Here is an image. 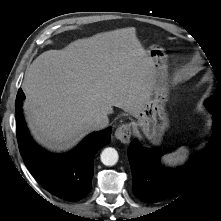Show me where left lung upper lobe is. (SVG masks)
Masks as SVG:
<instances>
[{"mask_svg": "<svg viewBox=\"0 0 221 221\" xmlns=\"http://www.w3.org/2000/svg\"><path fill=\"white\" fill-rule=\"evenodd\" d=\"M206 105L210 111H214L215 108L221 110V93L216 91L212 97L207 99Z\"/></svg>", "mask_w": 221, "mask_h": 221, "instance_id": "obj_1", "label": "left lung upper lobe"}]
</instances>
